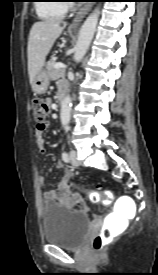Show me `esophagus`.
<instances>
[{
  "label": "esophagus",
  "instance_id": "34e87169",
  "mask_svg": "<svg viewBox=\"0 0 158 275\" xmlns=\"http://www.w3.org/2000/svg\"><path fill=\"white\" fill-rule=\"evenodd\" d=\"M93 6V3L91 1L85 3L83 7L79 9V11L76 13L72 23H71V28L77 29L78 26L80 25L81 21L85 17V15L91 10Z\"/></svg>",
  "mask_w": 158,
  "mask_h": 275
}]
</instances>
